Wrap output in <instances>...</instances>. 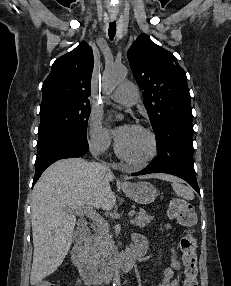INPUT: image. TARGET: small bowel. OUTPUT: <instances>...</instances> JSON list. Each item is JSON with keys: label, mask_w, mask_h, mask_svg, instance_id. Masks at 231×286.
Listing matches in <instances>:
<instances>
[{"label": "small bowel", "mask_w": 231, "mask_h": 286, "mask_svg": "<svg viewBox=\"0 0 231 286\" xmlns=\"http://www.w3.org/2000/svg\"><path fill=\"white\" fill-rule=\"evenodd\" d=\"M166 228L170 229L169 226H167ZM139 238L145 241V239L141 236H135L134 241H137ZM180 268L181 264L177 259L176 253L174 252L171 256L170 266L165 268L164 278L159 286H178L177 281L173 279V275L175 274V272L179 271Z\"/></svg>", "instance_id": "c3829d8e"}]
</instances>
